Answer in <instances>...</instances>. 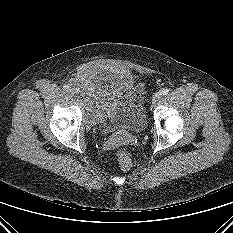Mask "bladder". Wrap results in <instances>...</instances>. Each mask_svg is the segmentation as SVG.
Instances as JSON below:
<instances>
[{
	"instance_id": "obj_1",
	"label": "bladder",
	"mask_w": 233,
	"mask_h": 233,
	"mask_svg": "<svg viewBox=\"0 0 233 233\" xmlns=\"http://www.w3.org/2000/svg\"><path fill=\"white\" fill-rule=\"evenodd\" d=\"M71 92L88 125L104 126L110 132H142L147 127L144 88L127 70L85 65L72 79Z\"/></svg>"
}]
</instances>
